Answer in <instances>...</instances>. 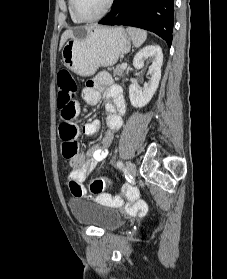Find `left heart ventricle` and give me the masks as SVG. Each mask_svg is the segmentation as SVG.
Here are the masks:
<instances>
[{"mask_svg":"<svg viewBox=\"0 0 227 279\" xmlns=\"http://www.w3.org/2000/svg\"><path fill=\"white\" fill-rule=\"evenodd\" d=\"M107 0H75L76 12L84 18L94 17L105 7Z\"/></svg>","mask_w":227,"mask_h":279,"instance_id":"left-heart-ventricle-1","label":"left heart ventricle"}]
</instances>
